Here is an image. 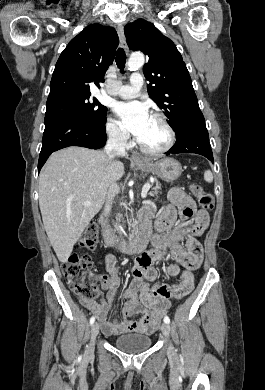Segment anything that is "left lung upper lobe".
Masks as SVG:
<instances>
[{
    "label": "left lung upper lobe",
    "instance_id": "left-lung-upper-lobe-1",
    "mask_svg": "<svg viewBox=\"0 0 265 390\" xmlns=\"http://www.w3.org/2000/svg\"><path fill=\"white\" fill-rule=\"evenodd\" d=\"M133 51L148 56L143 73L150 84L149 97L164 111L169 125L179 135L186 124L201 113L191 77L175 44L152 23L137 19L124 28Z\"/></svg>",
    "mask_w": 265,
    "mask_h": 390
}]
</instances>
